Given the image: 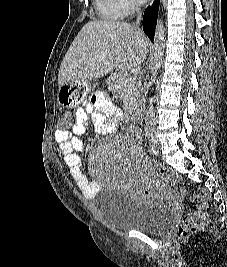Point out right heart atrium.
Listing matches in <instances>:
<instances>
[{
  "label": "right heart atrium",
  "mask_w": 227,
  "mask_h": 267,
  "mask_svg": "<svg viewBox=\"0 0 227 267\" xmlns=\"http://www.w3.org/2000/svg\"><path fill=\"white\" fill-rule=\"evenodd\" d=\"M124 14H131L138 7L139 0H118Z\"/></svg>",
  "instance_id": "1"
}]
</instances>
